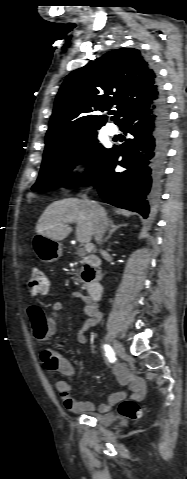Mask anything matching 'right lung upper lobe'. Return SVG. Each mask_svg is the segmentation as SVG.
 <instances>
[{
    "label": "right lung upper lobe",
    "instance_id": "obj_1",
    "mask_svg": "<svg viewBox=\"0 0 187 479\" xmlns=\"http://www.w3.org/2000/svg\"><path fill=\"white\" fill-rule=\"evenodd\" d=\"M162 94L149 62L134 48H121L71 72L56 97L45 150L96 132L115 108L116 123L139 107H149Z\"/></svg>",
    "mask_w": 187,
    "mask_h": 479
}]
</instances>
